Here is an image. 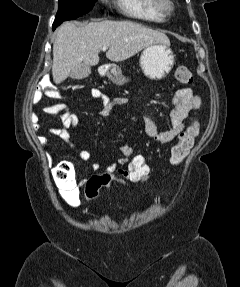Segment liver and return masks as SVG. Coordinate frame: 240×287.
Returning a JSON list of instances; mask_svg holds the SVG:
<instances>
[{"mask_svg": "<svg viewBox=\"0 0 240 287\" xmlns=\"http://www.w3.org/2000/svg\"><path fill=\"white\" fill-rule=\"evenodd\" d=\"M155 43L170 44L160 31L132 21L90 22L78 27L66 22L57 31L53 44V81L59 84L81 63L97 65L103 46L106 57L114 62L124 61Z\"/></svg>", "mask_w": 240, "mask_h": 287, "instance_id": "6515ba94", "label": "liver"}]
</instances>
